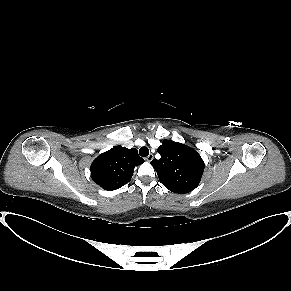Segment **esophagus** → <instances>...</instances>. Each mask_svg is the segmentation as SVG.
I'll return each mask as SVG.
<instances>
[{"mask_svg": "<svg viewBox=\"0 0 291 291\" xmlns=\"http://www.w3.org/2000/svg\"><path fill=\"white\" fill-rule=\"evenodd\" d=\"M153 158H154V155H153V154H149V155L145 158V160H146L147 162H151V161L153 160Z\"/></svg>", "mask_w": 291, "mask_h": 291, "instance_id": "esophagus-1", "label": "esophagus"}]
</instances>
